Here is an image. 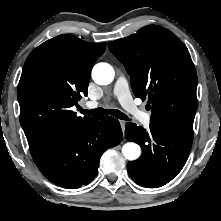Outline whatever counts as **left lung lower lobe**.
<instances>
[{"mask_svg":"<svg viewBox=\"0 0 221 221\" xmlns=\"http://www.w3.org/2000/svg\"><path fill=\"white\" fill-rule=\"evenodd\" d=\"M128 141L138 143L142 155L127 164L130 177L139 185L157 188L171 181L187 161L193 137L150 123L146 131L134 123L125 127Z\"/></svg>","mask_w":221,"mask_h":221,"instance_id":"0a47b994","label":"left lung lower lobe"}]
</instances>
